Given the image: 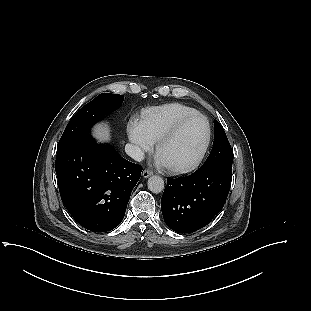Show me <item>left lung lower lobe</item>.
<instances>
[{"label": "left lung lower lobe", "mask_w": 311, "mask_h": 311, "mask_svg": "<svg viewBox=\"0 0 311 311\" xmlns=\"http://www.w3.org/2000/svg\"><path fill=\"white\" fill-rule=\"evenodd\" d=\"M232 169L200 167L193 174L167 180L161 209L165 223L177 233L194 232L223 208L230 189Z\"/></svg>", "instance_id": "0a47b994"}]
</instances>
